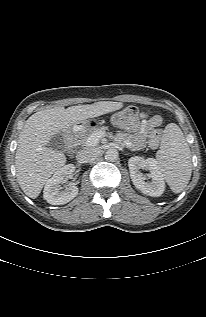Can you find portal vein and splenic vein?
Masks as SVG:
<instances>
[{
    "instance_id": "portal-vein-and-splenic-vein-1",
    "label": "portal vein and splenic vein",
    "mask_w": 206,
    "mask_h": 317,
    "mask_svg": "<svg viewBox=\"0 0 206 317\" xmlns=\"http://www.w3.org/2000/svg\"><path fill=\"white\" fill-rule=\"evenodd\" d=\"M104 136H105V133H101V132L92 134L87 140V145L88 146H96L98 144L99 140Z\"/></svg>"
}]
</instances>
